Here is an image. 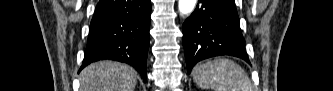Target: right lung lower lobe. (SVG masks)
I'll list each match as a JSON object with an SVG mask.
<instances>
[{
    "mask_svg": "<svg viewBox=\"0 0 333 91\" xmlns=\"http://www.w3.org/2000/svg\"><path fill=\"white\" fill-rule=\"evenodd\" d=\"M150 15V0H100L80 70L92 62L110 59L132 65L146 81Z\"/></svg>",
    "mask_w": 333,
    "mask_h": 91,
    "instance_id": "98d812e1",
    "label": "right lung lower lobe"
}]
</instances>
